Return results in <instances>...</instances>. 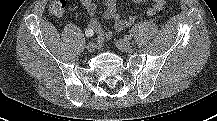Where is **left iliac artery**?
Segmentation results:
<instances>
[{
	"label": "left iliac artery",
	"mask_w": 217,
	"mask_h": 121,
	"mask_svg": "<svg viewBox=\"0 0 217 121\" xmlns=\"http://www.w3.org/2000/svg\"><path fill=\"white\" fill-rule=\"evenodd\" d=\"M146 24H147L146 22H139V23L135 24V25L131 28V30L129 31V34L126 35V37H127L128 39H131L132 36H133L135 33H137L140 29H142Z\"/></svg>",
	"instance_id": "left-iliac-artery-1"
}]
</instances>
